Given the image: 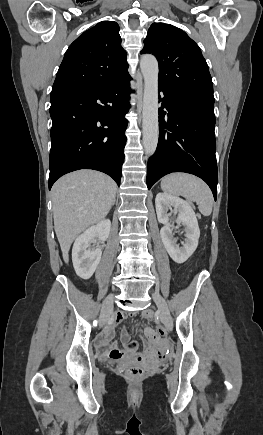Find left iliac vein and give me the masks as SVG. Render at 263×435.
<instances>
[{
    "mask_svg": "<svg viewBox=\"0 0 263 435\" xmlns=\"http://www.w3.org/2000/svg\"><path fill=\"white\" fill-rule=\"evenodd\" d=\"M152 297L158 307V312L162 322L166 325L168 329H172L173 320L170 315L166 301L159 293H154Z\"/></svg>",
    "mask_w": 263,
    "mask_h": 435,
    "instance_id": "1",
    "label": "left iliac vein"
}]
</instances>
